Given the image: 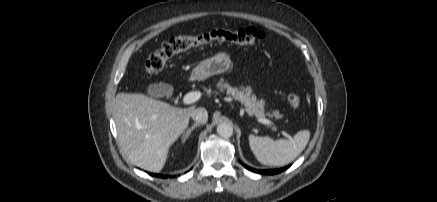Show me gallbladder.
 Masks as SVG:
<instances>
[{"mask_svg": "<svg viewBox=\"0 0 437 202\" xmlns=\"http://www.w3.org/2000/svg\"><path fill=\"white\" fill-rule=\"evenodd\" d=\"M169 87L164 83H152L147 87V94L152 98L164 97L168 94Z\"/></svg>", "mask_w": 437, "mask_h": 202, "instance_id": "gallbladder-1", "label": "gallbladder"}]
</instances>
